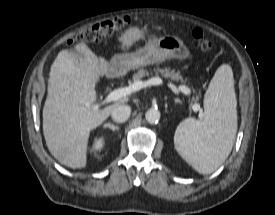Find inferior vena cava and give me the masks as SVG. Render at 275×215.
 I'll return each instance as SVG.
<instances>
[{
	"label": "inferior vena cava",
	"mask_w": 275,
	"mask_h": 215,
	"mask_svg": "<svg viewBox=\"0 0 275 215\" xmlns=\"http://www.w3.org/2000/svg\"><path fill=\"white\" fill-rule=\"evenodd\" d=\"M131 114V108L128 105H117L112 113V119L117 123H123L128 120Z\"/></svg>",
	"instance_id": "inferior-vena-cava-1"
}]
</instances>
